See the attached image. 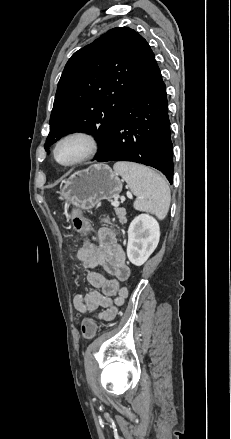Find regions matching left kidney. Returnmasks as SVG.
Instances as JSON below:
<instances>
[{
	"label": "left kidney",
	"instance_id": "5707ae66",
	"mask_svg": "<svg viewBox=\"0 0 231 439\" xmlns=\"http://www.w3.org/2000/svg\"><path fill=\"white\" fill-rule=\"evenodd\" d=\"M160 238L159 223L148 214L136 216L128 228L127 257L136 265H143L156 249Z\"/></svg>",
	"mask_w": 231,
	"mask_h": 439
}]
</instances>
